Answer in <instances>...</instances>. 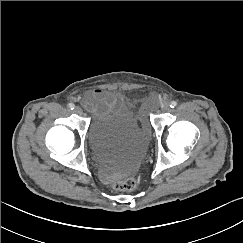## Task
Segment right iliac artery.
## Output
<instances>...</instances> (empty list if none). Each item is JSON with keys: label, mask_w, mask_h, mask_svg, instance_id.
Listing matches in <instances>:
<instances>
[{"label": "right iliac artery", "mask_w": 243, "mask_h": 243, "mask_svg": "<svg viewBox=\"0 0 243 243\" xmlns=\"http://www.w3.org/2000/svg\"><path fill=\"white\" fill-rule=\"evenodd\" d=\"M68 107H69L71 110H73V109L75 108V105H74L73 103H69V104H68Z\"/></svg>", "instance_id": "right-iliac-artery-1"}]
</instances>
